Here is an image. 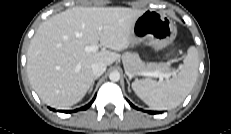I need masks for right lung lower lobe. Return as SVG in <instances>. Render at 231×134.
Returning a JSON list of instances; mask_svg holds the SVG:
<instances>
[{
    "instance_id": "98d812e1",
    "label": "right lung lower lobe",
    "mask_w": 231,
    "mask_h": 134,
    "mask_svg": "<svg viewBox=\"0 0 231 134\" xmlns=\"http://www.w3.org/2000/svg\"><path fill=\"white\" fill-rule=\"evenodd\" d=\"M94 99H95V97L93 98V100H92L89 104H87L86 106H84V107H82V108H79V109H77V110H71V111H64V110H62L61 112L71 113V112H76V111H78V110H85V109H87V108L90 107V105L92 104V102L94 101ZM51 110H52V109H51Z\"/></svg>"
}]
</instances>
